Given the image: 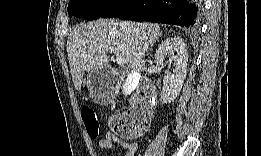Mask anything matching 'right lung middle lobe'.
Segmentation results:
<instances>
[{"mask_svg": "<svg viewBox=\"0 0 261 156\" xmlns=\"http://www.w3.org/2000/svg\"><path fill=\"white\" fill-rule=\"evenodd\" d=\"M116 3V0H70L68 13L70 17L93 20L104 15Z\"/></svg>", "mask_w": 261, "mask_h": 156, "instance_id": "dd1d6c3e", "label": "right lung middle lobe"}]
</instances>
